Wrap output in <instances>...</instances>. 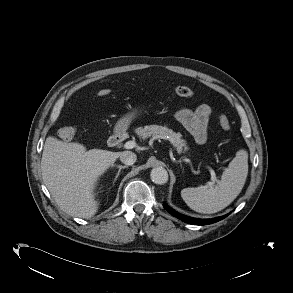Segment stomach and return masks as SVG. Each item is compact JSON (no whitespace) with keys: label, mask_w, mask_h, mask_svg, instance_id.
Here are the masks:
<instances>
[{"label":"stomach","mask_w":293,"mask_h":293,"mask_svg":"<svg viewBox=\"0 0 293 293\" xmlns=\"http://www.w3.org/2000/svg\"><path fill=\"white\" fill-rule=\"evenodd\" d=\"M142 113L141 109L134 108L132 111L126 113L116 124V132H124L131 122Z\"/></svg>","instance_id":"1"}]
</instances>
